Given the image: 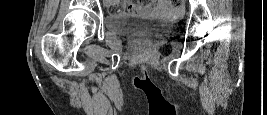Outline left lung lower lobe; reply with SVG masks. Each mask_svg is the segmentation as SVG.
<instances>
[{"label": "left lung lower lobe", "instance_id": "0a47b994", "mask_svg": "<svg viewBox=\"0 0 267 115\" xmlns=\"http://www.w3.org/2000/svg\"><path fill=\"white\" fill-rule=\"evenodd\" d=\"M137 87H143V86H139V85H137ZM148 88L153 89V90H155V91L158 90L157 88H155V87H151V86H149Z\"/></svg>", "mask_w": 267, "mask_h": 115}]
</instances>
